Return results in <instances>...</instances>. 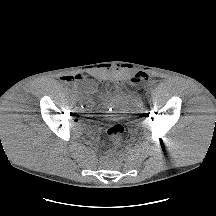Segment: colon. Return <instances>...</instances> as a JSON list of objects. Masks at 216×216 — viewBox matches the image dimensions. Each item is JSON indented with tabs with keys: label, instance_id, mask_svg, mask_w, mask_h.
Returning <instances> with one entry per match:
<instances>
[{
	"label": "colon",
	"instance_id": "1",
	"mask_svg": "<svg viewBox=\"0 0 216 216\" xmlns=\"http://www.w3.org/2000/svg\"><path fill=\"white\" fill-rule=\"evenodd\" d=\"M106 93V88L101 86L99 90L100 95H104ZM107 135L111 141V143L115 146L119 145L122 142L124 135V127L119 123H109L106 128Z\"/></svg>",
	"mask_w": 216,
	"mask_h": 216
}]
</instances>
